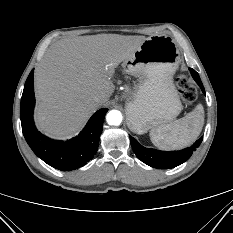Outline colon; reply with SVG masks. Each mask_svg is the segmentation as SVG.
<instances>
[{"instance_id": "5ec220e1", "label": "colon", "mask_w": 233, "mask_h": 233, "mask_svg": "<svg viewBox=\"0 0 233 233\" xmlns=\"http://www.w3.org/2000/svg\"><path fill=\"white\" fill-rule=\"evenodd\" d=\"M176 84L183 102L188 105L193 103L196 99V90L189 83L187 76L184 74H179L176 77Z\"/></svg>"}]
</instances>
